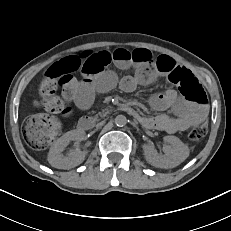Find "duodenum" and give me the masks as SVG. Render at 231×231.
Returning a JSON list of instances; mask_svg holds the SVG:
<instances>
[{
  "label": "duodenum",
  "mask_w": 231,
  "mask_h": 231,
  "mask_svg": "<svg viewBox=\"0 0 231 231\" xmlns=\"http://www.w3.org/2000/svg\"><path fill=\"white\" fill-rule=\"evenodd\" d=\"M125 110H126V112L131 114L133 117L138 118V114L136 113V111L133 108L128 107ZM92 124H93V120L90 117H83L80 119V121L78 123V129L80 131H87L92 127Z\"/></svg>",
  "instance_id": "410a0bca"
}]
</instances>
